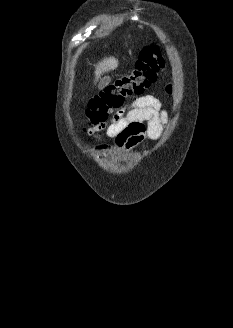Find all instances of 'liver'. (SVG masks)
<instances>
[{
  "instance_id": "1",
  "label": "liver",
  "mask_w": 233,
  "mask_h": 328,
  "mask_svg": "<svg viewBox=\"0 0 233 328\" xmlns=\"http://www.w3.org/2000/svg\"><path fill=\"white\" fill-rule=\"evenodd\" d=\"M118 67V60L114 57L104 58L95 66V82L100 76L108 71L115 70Z\"/></svg>"
}]
</instances>
